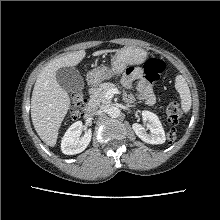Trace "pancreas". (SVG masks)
Here are the masks:
<instances>
[{
    "mask_svg": "<svg viewBox=\"0 0 220 220\" xmlns=\"http://www.w3.org/2000/svg\"><path fill=\"white\" fill-rule=\"evenodd\" d=\"M116 86L113 83H102L91 95L90 105L94 108H105L111 103V99L105 97L108 90L114 89Z\"/></svg>",
    "mask_w": 220,
    "mask_h": 220,
    "instance_id": "1",
    "label": "pancreas"
}]
</instances>
